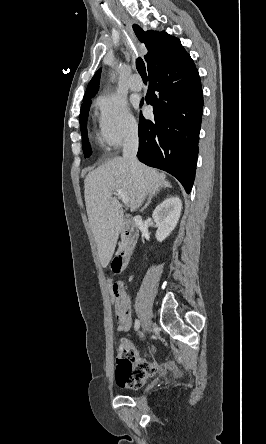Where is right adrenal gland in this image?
<instances>
[{
  "label": "right adrenal gland",
  "mask_w": 266,
  "mask_h": 444,
  "mask_svg": "<svg viewBox=\"0 0 266 444\" xmlns=\"http://www.w3.org/2000/svg\"><path fill=\"white\" fill-rule=\"evenodd\" d=\"M164 185H165V188H170V187H171V185L169 184V182H165ZM154 196H155V195H150V196H149V199H148L146 205H145L144 208L141 210L142 212H143L145 209H147V208L149 207V205L152 203V198H153Z\"/></svg>",
  "instance_id": "right-adrenal-gland-1"
}]
</instances>
